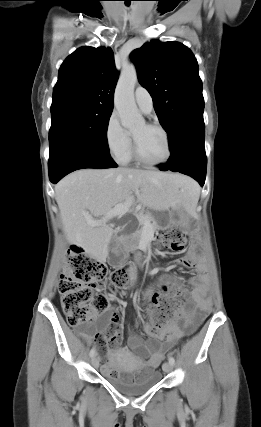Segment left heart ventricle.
I'll return each mask as SVG.
<instances>
[{
	"label": "left heart ventricle",
	"mask_w": 261,
	"mask_h": 427,
	"mask_svg": "<svg viewBox=\"0 0 261 427\" xmlns=\"http://www.w3.org/2000/svg\"><path fill=\"white\" fill-rule=\"evenodd\" d=\"M141 156L150 162H157L167 155V145L161 131L142 123L132 130Z\"/></svg>",
	"instance_id": "left-heart-ventricle-1"
}]
</instances>
